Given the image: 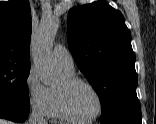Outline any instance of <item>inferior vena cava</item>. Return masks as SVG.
Segmentation results:
<instances>
[{
	"instance_id": "1",
	"label": "inferior vena cava",
	"mask_w": 156,
	"mask_h": 124,
	"mask_svg": "<svg viewBox=\"0 0 156 124\" xmlns=\"http://www.w3.org/2000/svg\"><path fill=\"white\" fill-rule=\"evenodd\" d=\"M28 124H47V122L43 116L33 108Z\"/></svg>"
}]
</instances>
